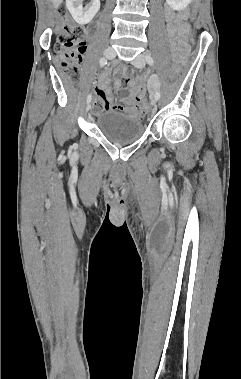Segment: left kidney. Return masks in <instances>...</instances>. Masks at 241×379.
Listing matches in <instances>:
<instances>
[{"instance_id":"1","label":"left kidney","mask_w":241,"mask_h":379,"mask_svg":"<svg viewBox=\"0 0 241 379\" xmlns=\"http://www.w3.org/2000/svg\"><path fill=\"white\" fill-rule=\"evenodd\" d=\"M193 0H166L167 4L174 10H184Z\"/></svg>"}]
</instances>
